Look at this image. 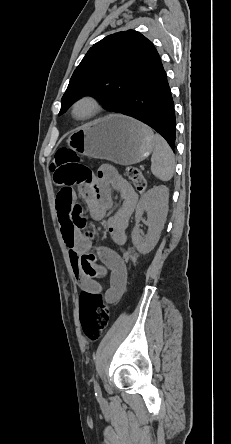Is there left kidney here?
I'll use <instances>...</instances> for the list:
<instances>
[{"mask_svg":"<svg viewBox=\"0 0 231 444\" xmlns=\"http://www.w3.org/2000/svg\"><path fill=\"white\" fill-rule=\"evenodd\" d=\"M169 189L166 186H155L148 190L139 200L132 231V242L141 254H147L156 246L164 227L168 213ZM144 212H147L149 231L142 237L139 222Z\"/></svg>","mask_w":231,"mask_h":444,"instance_id":"obj_1","label":"left kidney"}]
</instances>
